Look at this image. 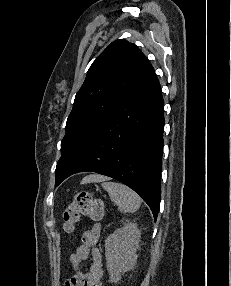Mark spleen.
<instances>
[{
	"label": "spleen",
	"instance_id": "obj_1",
	"mask_svg": "<svg viewBox=\"0 0 231 286\" xmlns=\"http://www.w3.org/2000/svg\"><path fill=\"white\" fill-rule=\"evenodd\" d=\"M103 189L108 193L110 200L117 204L120 212L133 213L137 211L142 203L140 196L121 183L101 180Z\"/></svg>",
	"mask_w": 231,
	"mask_h": 286
}]
</instances>
